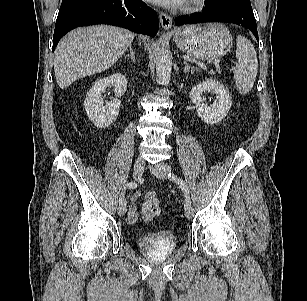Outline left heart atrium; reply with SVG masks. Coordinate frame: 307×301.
<instances>
[{
  "label": "left heart atrium",
  "instance_id": "1",
  "mask_svg": "<svg viewBox=\"0 0 307 301\" xmlns=\"http://www.w3.org/2000/svg\"><path fill=\"white\" fill-rule=\"evenodd\" d=\"M147 1L157 5L170 7V6L180 5L184 0H147Z\"/></svg>",
  "mask_w": 307,
  "mask_h": 301
}]
</instances>
